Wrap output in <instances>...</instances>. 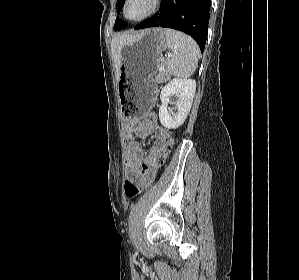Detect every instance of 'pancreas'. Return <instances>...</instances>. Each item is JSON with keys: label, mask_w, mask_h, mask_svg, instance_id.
<instances>
[{"label": "pancreas", "mask_w": 299, "mask_h": 280, "mask_svg": "<svg viewBox=\"0 0 299 280\" xmlns=\"http://www.w3.org/2000/svg\"><path fill=\"white\" fill-rule=\"evenodd\" d=\"M169 75H168V71L164 70L163 72H159L158 75H156L155 77V81L159 84L164 83L168 80Z\"/></svg>", "instance_id": "1"}]
</instances>
